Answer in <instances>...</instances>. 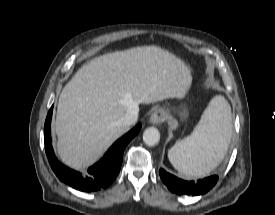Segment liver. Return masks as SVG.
Returning <instances> with one entry per match:
<instances>
[{"mask_svg": "<svg viewBox=\"0 0 275 215\" xmlns=\"http://www.w3.org/2000/svg\"><path fill=\"white\" fill-rule=\"evenodd\" d=\"M192 83L190 69L158 46H141L96 57L63 88L55 131L57 153L67 166L93 164L128 126L120 123L139 104L183 98Z\"/></svg>", "mask_w": 275, "mask_h": 215, "instance_id": "6515ba94", "label": "liver"}]
</instances>
